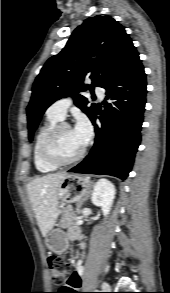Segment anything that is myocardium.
I'll list each match as a JSON object with an SVG mask.
<instances>
[{"label":"myocardium","instance_id":"myocardium-1","mask_svg":"<svg viewBox=\"0 0 170 293\" xmlns=\"http://www.w3.org/2000/svg\"><path fill=\"white\" fill-rule=\"evenodd\" d=\"M63 128H71V126L67 122H58L56 123L44 136V139L42 141L41 145V155L42 158L55 166H64V165H69L72 163L77 162L80 160L85 152H86V147L83 146L81 151L76 154L74 157L69 158V159H61L58 156H56L53 152V146L55 143V139L59 131Z\"/></svg>","mask_w":170,"mask_h":293}]
</instances>
